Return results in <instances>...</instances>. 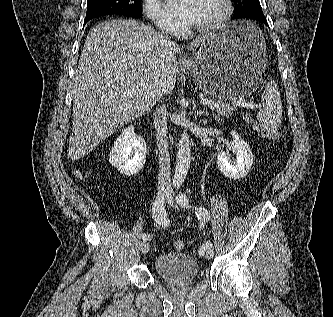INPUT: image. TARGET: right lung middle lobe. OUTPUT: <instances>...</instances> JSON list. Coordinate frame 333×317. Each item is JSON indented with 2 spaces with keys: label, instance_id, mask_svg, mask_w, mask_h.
Returning <instances> with one entry per match:
<instances>
[{
  "label": "right lung middle lobe",
  "instance_id": "right-lung-middle-lobe-1",
  "mask_svg": "<svg viewBox=\"0 0 333 317\" xmlns=\"http://www.w3.org/2000/svg\"><path fill=\"white\" fill-rule=\"evenodd\" d=\"M141 12V0H88L86 18L108 14L139 18Z\"/></svg>",
  "mask_w": 333,
  "mask_h": 317
}]
</instances>
